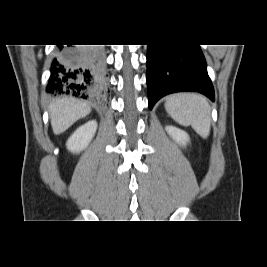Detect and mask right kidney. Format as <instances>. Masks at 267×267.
<instances>
[{
	"mask_svg": "<svg viewBox=\"0 0 267 267\" xmlns=\"http://www.w3.org/2000/svg\"><path fill=\"white\" fill-rule=\"evenodd\" d=\"M97 130V122L92 120L80 126L68 139L66 146L73 153L83 151L93 139Z\"/></svg>",
	"mask_w": 267,
	"mask_h": 267,
	"instance_id": "1",
	"label": "right kidney"
}]
</instances>
